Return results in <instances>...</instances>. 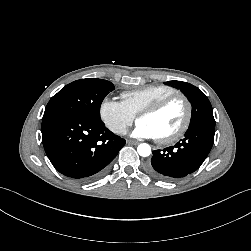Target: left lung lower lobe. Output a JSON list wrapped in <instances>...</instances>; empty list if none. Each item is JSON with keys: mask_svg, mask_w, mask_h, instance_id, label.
<instances>
[{"mask_svg": "<svg viewBox=\"0 0 251 251\" xmlns=\"http://www.w3.org/2000/svg\"><path fill=\"white\" fill-rule=\"evenodd\" d=\"M215 123L200 122L189 126L185 137L174 146L153 151L149 171L156 177L173 181L196 171L209 154Z\"/></svg>", "mask_w": 251, "mask_h": 251, "instance_id": "obj_1", "label": "left lung lower lobe"}]
</instances>
